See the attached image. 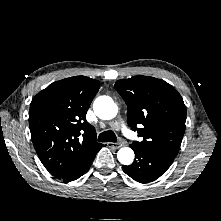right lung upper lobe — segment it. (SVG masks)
I'll use <instances>...</instances> for the list:
<instances>
[{
    "instance_id": "right-lung-upper-lobe-1",
    "label": "right lung upper lobe",
    "mask_w": 221,
    "mask_h": 221,
    "mask_svg": "<svg viewBox=\"0 0 221 221\" xmlns=\"http://www.w3.org/2000/svg\"><path fill=\"white\" fill-rule=\"evenodd\" d=\"M99 87L97 80L75 76L50 84L32 99V142L42 164L56 178L77 171L103 146L86 120Z\"/></svg>"
}]
</instances>
